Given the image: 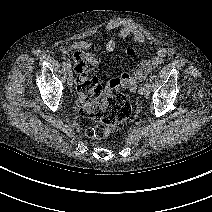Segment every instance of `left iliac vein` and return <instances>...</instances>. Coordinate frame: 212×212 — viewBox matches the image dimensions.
Returning a JSON list of instances; mask_svg holds the SVG:
<instances>
[{"label": "left iliac vein", "instance_id": "left-iliac-vein-1", "mask_svg": "<svg viewBox=\"0 0 212 212\" xmlns=\"http://www.w3.org/2000/svg\"><path fill=\"white\" fill-rule=\"evenodd\" d=\"M138 93H139L140 95H144V94H145L143 86H141V87L138 89Z\"/></svg>", "mask_w": 212, "mask_h": 212}]
</instances>
